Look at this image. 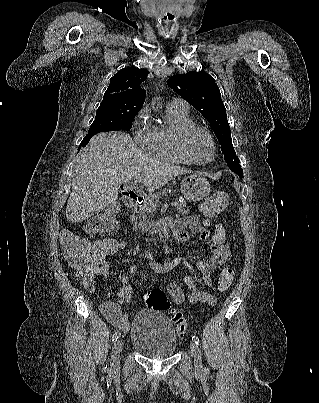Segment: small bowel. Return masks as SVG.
<instances>
[{
    "label": "small bowel",
    "mask_w": 319,
    "mask_h": 403,
    "mask_svg": "<svg viewBox=\"0 0 319 403\" xmlns=\"http://www.w3.org/2000/svg\"><path fill=\"white\" fill-rule=\"evenodd\" d=\"M204 210V205L202 206ZM187 228L191 231L188 232ZM174 234L175 237L184 243L195 242L201 245L203 242L208 240L210 234L199 220L195 216H189L183 221L174 222ZM87 241V240H84ZM229 248L225 243L217 246L214 242L209 248V258L210 262L199 260L196 262L198 270L202 273L203 282L207 287H211L213 283V274L215 270L221 267L229 258ZM150 268L157 273H167L174 266L184 261L187 257L186 253H182L176 257L172 262L162 264L154 261L151 256H148ZM76 265V263H74ZM138 268L135 264L130 265L128 274L125 275L120 284V289L118 293V301L111 302L105 301L101 303L100 310L108 321L120 330L122 333L126 334L130 329V323L127 313L122 309V304L129 302L131 299V277L136 274ZM97 272L101 276H108L110 273V266L106 258H102V255L97 263ZM184 283L190 290V295L188 296V301L191 304L203 303L209 306H214L217 303V298L214 294L207 290H202L198 288L193 279L190 276L184 277ZM166 289L173 299L174 303L182 304L186 297L182 288L176 283H169Z\"/></svg>",
    "instance_id": "c3829d8e"
}]
</instances>
